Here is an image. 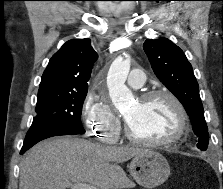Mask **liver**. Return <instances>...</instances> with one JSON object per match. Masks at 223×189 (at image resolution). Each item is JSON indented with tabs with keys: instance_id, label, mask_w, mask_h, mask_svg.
Segmentation results:
<instances>
[{
	"instance_id": "1",
	"label": "liver",
	"mask_w": 223,
	"mask_h": 189,
	"mask_svg": "<svg viewBox=\"0 0 223 189\" xmlns=\"http://www.w3.org/2000/svg\"><path fill=\"white\" fill-rule=\"evenodd\" d=\"M144 151L72 137L51 138L32 147L23 157L19 189H66L68 183L121 189L129 185V179L119 163Z\"/></svg>"
}]
</instances>
